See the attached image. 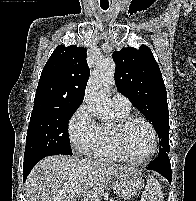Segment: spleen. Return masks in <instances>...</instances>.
<instances>
[{"mask_svg":"<svg viewBox=\"0 0 196 201\" xmlns=\"http://www.w3.org/2000/svg\"><path fill=\"white\" fill-rule=\"evenodd\" d=\"M164 194L161 191V186L158 180L150 177L142 193V201H163Z\"/></svg>","mask_w":196,"mask_h":201,"instance_id":"spleen-1","label":"spleen"}]
</instances>
